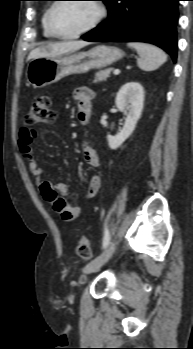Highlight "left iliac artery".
I'll return each mask as SVG.
<instances>
[{"mask_svg":"<svg viewBox=\"0 0 193 349\" xmlns=\"http://www.w3.org/2000/svg\"><path fill=\"white\" fill-rule=\"evenodd\" d=\"M110 241V233L109 230L106 228L104 232V237H103V249H105Z\"/></svg>","mask_w":193,"mask_h":349,"instance_id":"obj_1","label":"left iliac artery"}]
</instances>
